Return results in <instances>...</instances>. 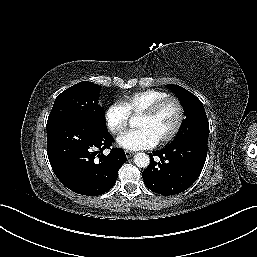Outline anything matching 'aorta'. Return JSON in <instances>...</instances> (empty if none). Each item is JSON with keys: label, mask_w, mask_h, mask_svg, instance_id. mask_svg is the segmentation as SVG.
<instances>
[{"label": "aorta", "mask_w": 257, "mask_h": 257, "mask_svg": "<svg viewBox=\"0 0 257 257\" xmlns=\"http://www.w3.org/2000/svg\"><path fill=\"white\" fill-rule=\"evenodd\" d=\"M134 162L135 164L140 168H146L150 163V158L145 153H137L134 156Z\"/></svg>", "instance_id": "1"}]
</instances>
